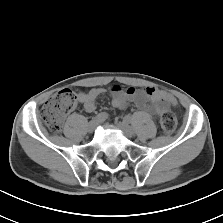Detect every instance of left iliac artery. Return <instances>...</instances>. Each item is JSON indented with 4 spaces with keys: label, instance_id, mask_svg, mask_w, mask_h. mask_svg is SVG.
<instances>
[{
    "label": "left iliac artery",
    "instance_id": "44dca946",
    "mask_svg": "<svg viewBox=\"0 0 223 223\" xmlns=\"http://www.w3.org/2000/svg\"><path fill=\"white\" fill-rule=\"evenodd\" d=\"M125 121H127V122H129V123H132L133 124V122H132V119H131V117H125ZM134 125V124H133Z\"/></svg>",
    "mask_w": 223,
    "mask_h": 223
}]
</instances>
